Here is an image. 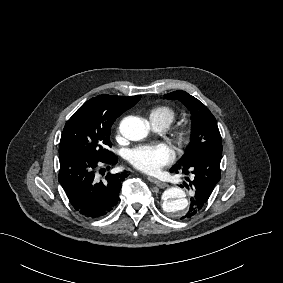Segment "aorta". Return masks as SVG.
I'll return each instance as SVG.
<instances>
[{
  "label": "aorta",
  "instance_id": "762f6f07",
  "mask_svg": "<svg viewBox=\"0 0 283 283\" xmlns=\"http://www.w3.org/2000/svg\"><path fill=\"white\" fill-rule=\"evenodd\" d=\"M119 129L125 138L132 141H139L147 137L150 125L147 120L135 116H128L121 121ZM162 199L163 210L175 218L184 215L189 206L186 192L177 187L165 190Z\"/></svg>",
  "mask_w": 283,
  "mask_h": 283
}]
</instances>
